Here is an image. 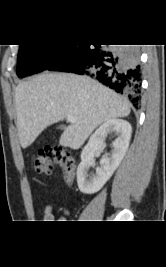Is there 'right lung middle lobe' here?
Masks as SVG:
<instances>
[{"label":"right lung middle lobe","instance_id":"obj_1","mask_svg":"<svg viewBox=\"0 0 166 267\" xmlns=\"http://www.w3.org/2000/svg\"><path fill=\"white\" fill-rule=\"evenodd\" d=\"M17 75L25 77L46 70L68 45H19Z\"/></svg>","mask_w":166,"mask_h":267}]
</instances>
